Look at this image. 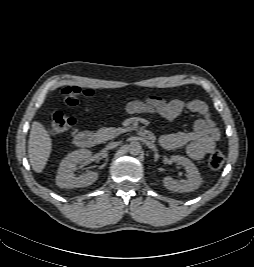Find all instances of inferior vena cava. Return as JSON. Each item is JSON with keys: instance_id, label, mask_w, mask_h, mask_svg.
Returning a JSON list of instances; mask_svg holds the SVG:
<instances>
[{"instance_id": "1", "label": "inferior vena cava", "mask_w": 254, "mask_h": 267, "mask_svg": "<svg viewBox=\"0 0 254 267\" xmlns=\"http://www.w3.org/2000/svg\"><path fill=\"white\" fill-rule=\"evenodd\" d=\"M118 145V143L116 142H111L107 145V149H112V148H115L116 146Z\"/></svg>"}]
</instances>
